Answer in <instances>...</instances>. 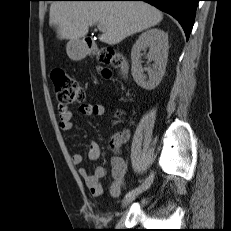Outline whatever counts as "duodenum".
<instances>
[{
    "instance_id": "410a0bca",
    "label": "duodenum",
    "mask_w": 231,
    "mask_h": 231,
    "mask_svg": "<svg viewBox=\"0 0 231 231\" xmlns=\"http://www.w3.org/2000/svg\"><path fill=\"white\" fill-rule=\"evenodd\" d=\"M80 51L85 54H93L96 52V47L92 43V41L88 38L84 39L80 45ZM120 59V57L118 56ZM120 71L122 74H125L127 71V67L124 63L120 62Z\"/></svg>"
}]
</instances>
